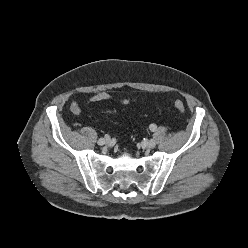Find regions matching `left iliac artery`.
Segmentation results:
<instances>
[{"label":"left iliac artery","mask_w":248,"mask_h":248,"mask_svg":"<svg viewBox=\"0 0 248 248\" xmlns=\"http://www.w3.org/2000/svg\"><path fill=\"white\" fill-rule=\"evenodd\" d=\"M149 128H150L151 131L154 132V131H156L157 126L155 124H151Z\"/></svg>","instance_id":"44dca946"}]
</instances>
